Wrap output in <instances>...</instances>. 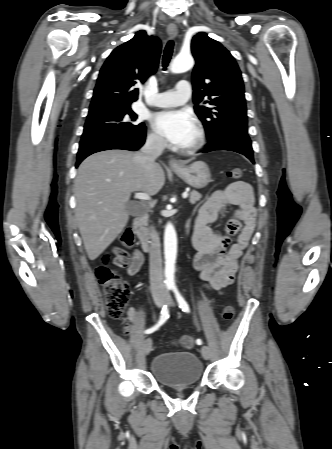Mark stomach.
<instances>
[{
  "label": "stomach",
  "instance_id": "stomach-1",
  "mask_svg": "<svg viewBox=\"0 0 332 449\" xmlns=\"http://www.w3.org/2000/svg\"><path fill=\"white\" fill-rule=\"evenodd\" d=\"M173 171L190 186L201 189L208 185L211 180L210 170L203 161H196Z\"/></svg>",
  "mask_w": 332,
  "mask_h": 449
}]
</instances>
